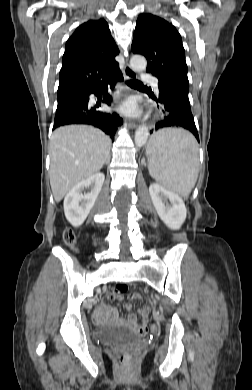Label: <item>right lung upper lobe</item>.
Returning <instances> with one entry per match:
<instances>
[{"label": "right lung upper lobe", "mask_w": 252, "mask_h": 390, "mask_svg": "<svg viewBox=\"0 0 252 390\" xmlns=\"http://www.w3.org/2000/svg\"><path fill=\"white\" fill-rule=\"evenodd\" d=\"M118 47L103 19L79 26L67 40L59 74L58 102L103 84L119 70Z\"/></svg>", "instance_id": "1"}]
</instances>
